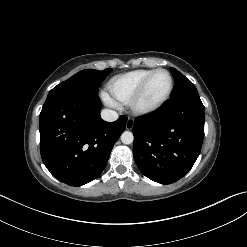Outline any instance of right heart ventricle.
Instances as JSON below:
<instances>
[{
	"mask_svg": "<svg viewBox=\"0 0 247 247\" xmlns=\"http://www.w3.org/2000/svg\"><path fill=\"white\" fill-rule=\"evenodd\" d=\"M152 71L151 69H138L114 76L107 83V89L114 99L128 104L140 84Z\"/></svg>",
	"mask_w": 247,
	"mask_h": 247,
	"instance_id": "obj_1",
	"label": "right heart ventricle"
}]
</instances>
